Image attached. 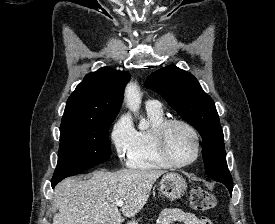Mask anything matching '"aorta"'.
<instances>
[{
	"label": "aorta",
	"mask_w": 275,
	"mask_h": 224,
	"mask_svg": "<svg viewBox=\"0 0 275 224\" xmlns=\"http://www.w3.org/2000/svg\"><path fill=\"white\" fill-rule=\"evenodd\" d=\"M125 100L129 110L136 114L139 111L141 105V94L137 84H128L125 90ZM147 127L148 123H146L145 121H142L139 125L140 129H146Z\"/></svg>",
	"instance_id": "1"
}]
</instances>
